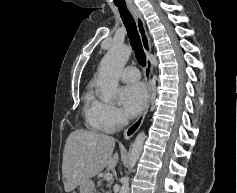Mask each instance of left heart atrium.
Here are the masks:
<instances>
[{
    "instance_id": "39dd6f15",
    "label": "left heart atrium",
    "mask_w": 237,
    "mask_h": 193,
    "mask_svg": "<svg viewBox=\"0 0 237 193\" xmlns=\"http://www.w3.org/2000/svg\"><path fill=\"white\" fill-rule=\"evenodd\" d=\"M147 90L142 83L125 86L121 91V103L125 114L129 117L136 116L145 106Z\"/></svg>"
}]
</instances>
